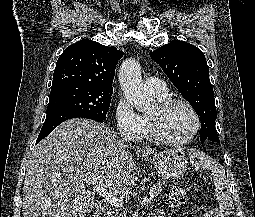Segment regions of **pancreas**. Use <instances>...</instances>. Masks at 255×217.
<instances>
[{
  "mask_svg": "<svg viewBox=\"0 0 255 217\" xmlns=\"http://www.w3.org/2000/svg\"><path fill=\"white\" fill-rule=\"evenodd\" d=\"M164 184L165 183L162 181H157L153 184L152 193L154 196H158L162 192ZM107 215V217H127L126 214L124 212H121L119 209L115 211H109Z\"/></svg>",
  "mask_w": 255,
  "mask_h": 217,
  "instance_id": "cf45deb5",
  "label": "pancreas"
}]
</instances>
